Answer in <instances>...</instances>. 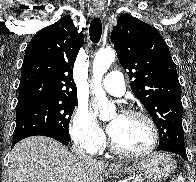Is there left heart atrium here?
I'll return each mask as SVG.
<instances>
[{"label":"left heart atrium","mask_w":196,"mask_h":182,"mask_svg":"<svg viewBox=\"0 0 196 182\" xmlns=\"http://www.w3.org/2000/svg\"><path fill=\"white\" fill-rule=\"evenodd\" d=\"M120 125V121L116 122V123H112L109 124L108 126V133L113 137L115 135V133L118 130V127Z\"/></svg>","instance_id":"1"}]
</instances>
